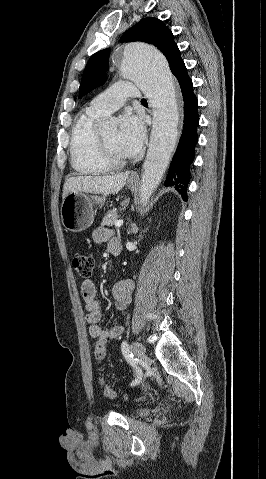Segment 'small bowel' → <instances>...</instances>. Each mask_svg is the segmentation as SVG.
Returning a JSON list of instances; mask_svg holds the SVG:
<instances>
[{
	"label": "small bowel",
	"instance_id": "obj_1",
	"mask_svg": "<svg viewBox=\"0 0 266 479\" xmlns=\"http://www.w3.org/2000/svg\"><path fill=\"white\" fill-rule=\"evenodd\" d=\"M94 240L98 243L105 241L109 242V247L112 241L119 240L112 237L111 232L106 228H98L95 230ZM120 243V242H119ZM133 290V283L130 280H121L113 287V297L115 299L116 308L120 311L126 310L132 302L131 293ZM81 294L85 301L87 310L86 321L88 323V332L93 339L113 340L118 338L123 333V326L113 325L104 328L100 325L102 318L101 304L97 298L96 287L91 280H84L81 284Z\"/></svg>",
	"mask_w": 266,
	"mask_h": 479
}]
</instances>
